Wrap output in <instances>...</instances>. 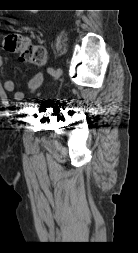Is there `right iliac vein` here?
<instances>
[{
    "mask_svg": "<svg viewBox=\"0 0 138 253\" xmlns=\"http://www.w3.org/2000/svg\"><path fill=\"white\" fill-rule=\"evenodd\" d=\"M60 75H61V71H60V70H57V71L55 72V74L53 75V77L56 79V78H58Z\"/></svg>",
    "mask_w": 138,
    "mask_h": 253,
    "instance_id": "obj_1",
    "label": "right iliac vein"
}]
</instances>
